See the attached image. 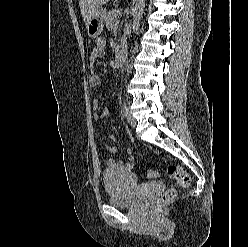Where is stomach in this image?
Wrapping results in <instances>:
<instances>
[{
    "mask_svg": "<svg viewBox=\"0 0 248 247\" xmlns=\"http://www.w3.org/2000/svg\"><path fill=\"white\" fill-rule=\"evenodd\" d=\"M104 26V12L99 10L86 24L87 34L91 38H96L100 35Z\"/></svg>",
    "mask_w": 248,
    "mask_h": 247,
    "instance_id": "stomach-1",
    "label": "stomach"
}]
</instances>
